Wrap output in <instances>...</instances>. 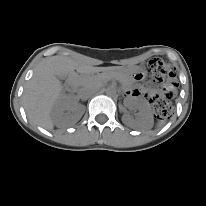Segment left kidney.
Here are the masks:
<instances>
[{"label": "left kidney", "mask_w": 206, "mask_h": 206, "mask_svg": "<svg viewBox=\"0 0 206 206\" xmlns=\"http://www.w3.org/2000/svg\"><path fill=\"white\" fill-rule=\"evenodd\" d=\"M130 108H136L138 116L136 119L131 118L129 115H125L123 120L125 123L131 126L140 128H151L153 125V116L150 105L148 102L141 98H135L127 102Z\"/></svg>", "instance_id": "5707ae66"}]
</instances>
